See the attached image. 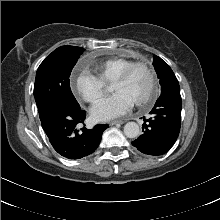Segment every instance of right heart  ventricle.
<instances>
[{
  "label": "right heart ventricle",
  "instance_id": "1",
  "mask_svg": "<svg viewBox=\"0 0 220 220\" xmlns=\"http://www.w3.org/2000/svg\"><path fill=\"white\" fill-rule=\"evenodd\" d=\"M132 63L134 60L129 58H110L96 65L95 71L103 82H112Z\"/></svg>",
  "mask_w": 220,
  "mask_h": 220
}]
</instances>
